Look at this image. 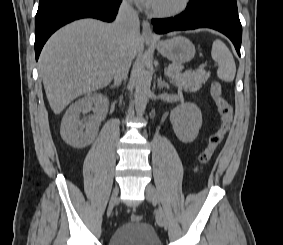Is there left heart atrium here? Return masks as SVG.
I'll return each mask as SVG.
<instances>
[{
	"label": "left heart atrium",
	"mask_w": 283,
	"mask_h": 245,
	"mask_svg": "<svg viewBox=\"0 0 283 245\" xmlns=\"http://www.w3.org/2000/svg\"><path fill=\"white\" fill-rule=\"evenodd\" d=\"M136 3L140 4V5H144V6H153L155 3V0H133Z\"/></svg>",
	"instance_id": "left-heart-atrium-1"
}]
</instances>
